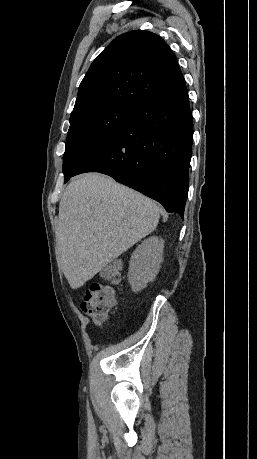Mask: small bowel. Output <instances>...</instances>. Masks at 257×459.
Masks as SVG:
<instances>
[{"mask_svg":"<svg viewBox=\"0 0 257 459\" xmlns=\"http://www.w3.org/2000/svg\"><path fill=\"white\" fill-rule=\"evenodd\" d=\"M92 323H93L94 325H96V326H101V321H99V320L93 319V320H92Z\"/></svg>","mask_w":257,"mask_h":459,"instance_id":"small-bowel-1","label":"small bowel"}]
</instances>
